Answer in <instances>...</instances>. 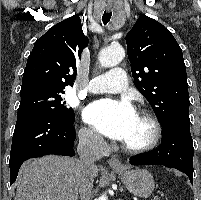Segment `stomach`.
Listing matches in <instances>:
<instances>
[{
  "label": "stomach",
  "instance_id": "stomach-1",
  "mask_svg": "<svg viewBox=\"0 0 201 200\" xmlns=\"http://www.w3.org/2000/svg\"><path fill=\"white\" fill-rule=\"evenodd\" d=\"M114 171L120 176L122 182L132 194L145 198L151 195L154 189V180L145 169L117 170Z\"/></svg>",
  "mask_w": 201,
  "mask_h": 200
}]
</instances>
